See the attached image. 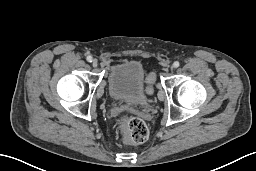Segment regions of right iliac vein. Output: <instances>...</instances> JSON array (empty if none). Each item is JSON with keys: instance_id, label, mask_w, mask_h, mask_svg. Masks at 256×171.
<instances>
[{"instance_id": "1", "label": "right iliac vein", "mask_w": 256, "mask_h": 171, "mask_svg": "<svg viewBox=\"0 0 256 171\" xmlns=\"http://www.w3.org/2000/svg\"><path fill=\"white\" fill-rule=\"evenodd\" d=\"M97 65H98V63H97V61L94 59V60L92 61V66H93V67H97Z\"/></svg>"}]
</instances>
